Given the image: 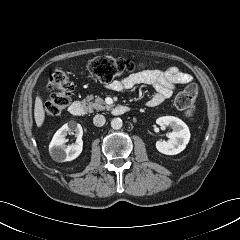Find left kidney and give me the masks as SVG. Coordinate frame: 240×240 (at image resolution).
Instances as JSON below:
<instances>
[{"mask_svg":"<svg viewBox=\"0 0 240 240\" xmlns=\"http://www.w3.org/2000/svg\"><path fill=\"white\" fill-rule=\"evenodd\" d=\"M161 127L170 126L173 131L169 133L168 141H157L156 149L166 155H176L182 152L190 140L188 126L179 118L174 116H163L156 120Z\"/></svg>","mask_w":240,"mask_h":240,"instance_id":"5707ae66","label":"left kidney"}]
</instances>
